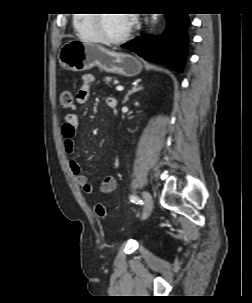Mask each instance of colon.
I'll return each instance as SVG.
<instances>
[{
	"instance_id": "obj_1",
	"label": "colon",
	"mask_w": 252,
	"mask_h": 303,
	"mask_svg": "<svg viewBox=\"0 0 252 303\" xmlns=\"http://www.w3.org/2000/svg\"><path fill=\"white\" fill-rule=\"evenodd\" d=\"M60 105L63 109H71L73 107V95L69 89H63L59 96ZM94 213L98 218H105L106 208L103 203L96 202L94 204Z\"/></svg>"
}]
</instances>
